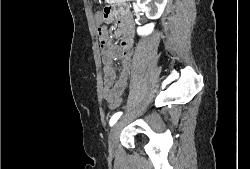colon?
<instances>
[{"mask_svg": "<svg viewBox=\"0 0 250 169\" xmlns=\"http://www.w3.org/2000/svg\"><path fill=\"white\" fill-rule=\"evenodd\" d=\"M95 34L100 36V51H105V35H103V28L95 29ZM106 95H115V93H106ZM109 108H117V104H122L120 97H108Z\"/></svg>", "mask_w": 250, "mask_h": 169, "instance_id": "5ec220e1", "label": "colon"}]
</instances>
